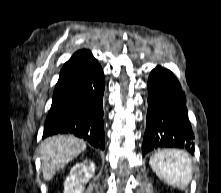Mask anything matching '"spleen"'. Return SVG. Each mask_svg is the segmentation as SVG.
Returning <instances> with one entry per match:
<instances>
[{"instance_id": "spleen-1", "label": "spleen", "mask_w": 221, "mask_h": 193, "mask_svg": "<svg viewBox=\"0 0 221 193\" xmlns=\"http://www.w3.org/2000/svg\"><path fill=\"white\" fill-rule=\"evenodd\" d=\"M149 164L156 175L170 186L184 187L191 180L193 173L191 159L181 150L158 151L150 158Z\"/></svg>"}]
</instances>
